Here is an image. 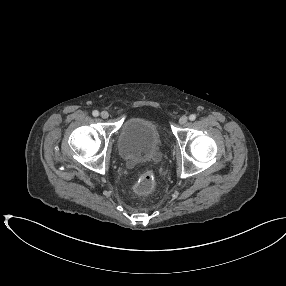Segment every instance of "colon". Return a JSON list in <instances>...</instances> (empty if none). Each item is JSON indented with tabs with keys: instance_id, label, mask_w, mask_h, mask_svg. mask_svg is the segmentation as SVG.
I'll return each instance as SVG.
<instances>
[{
	"instance_id": "obj_1",
	"label": "colon",
	"mask_w": 286,
	"mask_h": 286,
	"mask_svg": "<svg viewBox=\"0 0 286 286\" xmlns=\"http://www.w3.org/2000/svg\"><path fill=\"white\" fill-rule=\"evenodd\" d=\"M154 174L151 171H147L139 177L138 182L135 184V192L138 195L149 194L154 186Z\"/></svg>"
}]
</instances>
